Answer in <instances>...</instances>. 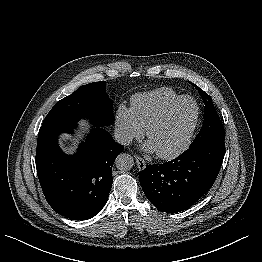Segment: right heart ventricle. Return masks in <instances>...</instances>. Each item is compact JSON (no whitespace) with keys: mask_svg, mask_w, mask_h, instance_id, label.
Wrapping results in <instances>:
<instances>
[{"mask_svg":"<svg viewBox=\"0 0 262 262\" xmlns=\"http://www.w3.org/2000/svg\"><path fill=\"white\" fill-rule=\"evenodd\" d=\"M181 97L182 95L167 87L139 93L132 97L131 111L139 125L147 129L168 105Z\"/></svg>","mask_w":262,"mask_h":262,"instance_id":"obj_1","label":"right heart ventricle"}]
</instances>
